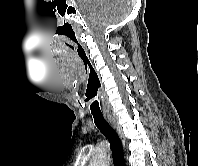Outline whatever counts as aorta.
<instances>
[{"label":"aorta","mask_w":198,"mask_h":166,"mask_svg":"<svg viewBox=\"0 0 198 166\" xmlns=\"http://www.w3.org/2000/svg\"><path fill=\"white\" fill-rule=\"evenodd\" d=\"M110 158L107 154H97L89 166H109Z\"/></svg>","instance_id":"obj_1"}]
</instances>
